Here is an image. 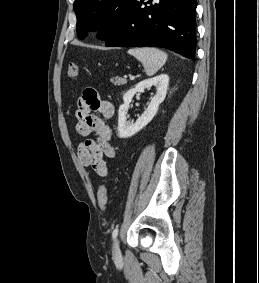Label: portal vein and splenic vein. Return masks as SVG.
<instances>
[{
    "label": "portal vein and splenic vein",
    "instance_id": "obj_1",
    "mask_svg": "<svg viewBox=\"0 0 259 283\" xmlns=\"http://www.w3.org/2000/svg\"><path fill=\"white\" fill-rule=\"evenodd\" d=\"M130 79L133 80V79H134V76H130Z\"/></svg>",
    "mask_w": 259,
    "mask_h": 283
}]
</instances>
